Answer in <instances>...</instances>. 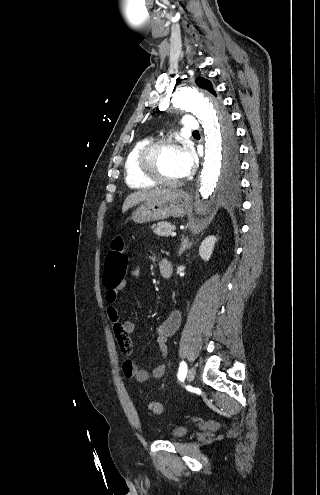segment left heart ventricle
I'll return each mask as SVG.
<instances>
[{"mask_svg":"<svg viewBox=\"0 0 320 495\" xmlns=\"http://www.w3.org/2000/svg\"><path fill=\"white\" fill-rule=\"evenodd\" d=\"M183 149L168 146L157 154L156 167L161 176L172 180L182 178L181 156Z\"/></svg>","mask_w":320,"mask_h":495,"instance_id":"b2bd125f","label":"left heart ventricle"}]
</instances>
